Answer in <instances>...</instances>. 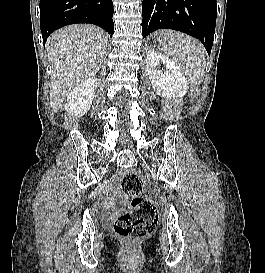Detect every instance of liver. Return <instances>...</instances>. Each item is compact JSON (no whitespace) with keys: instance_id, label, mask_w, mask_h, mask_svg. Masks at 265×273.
<instances>
[{"instance_id":"6515ba94","label":"liver","mask_w":265,"mask_h":273,"mask_svg":"<svg viewBox=\"0 0 265 273\" xmlns=\"http://www.w3.org/2000/svg\"><path fill=\"white\" fill-rule=\"evenodd\" d=\"M108 46L103 30L93 25L75 24L54 32L47 40L51 63L50 101L58 112L70 92L94 76Z\"/></svg>"}]
</instances>
